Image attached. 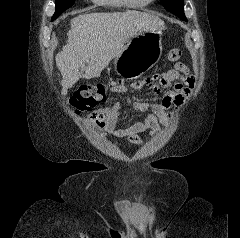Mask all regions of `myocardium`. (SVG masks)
Here are the masks:
<instances>
[{
  "label": "myocardium",
  "instance_id": "f54148a6",
  "mask_svg": "<svg viewBox=\"0 0 240 238\" xmlns=\"http://www.w3.org/2000/svg\"><path fill=\"white\" fill-rule=\"evenodd\" d=\"M127 6H129V7H134V6H136V5H142V6H144V5H148V4H150V3H152V2H154L155 0H143V1H134V0H122Z\"/></svg>",
  "mask_w": 240,
  "mask_h": 238
}]
</instances>
